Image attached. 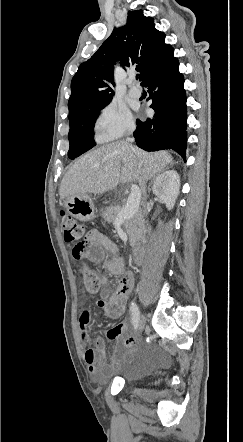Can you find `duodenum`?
I'll use <instances>...</instances> for the list:
<instances>
[{
	"label": "duodenum",
	"instance_id": "obj_1",
	"mask_svg": "<svg viewBox=\"0 0 243 442\" xmlns=\"http://www.w3.org/2000/svg\"><path fill=\"white\" fill-rule=\"evenodd\" d=\"M132 260L136 264H140L144 260V250L140 247L134 248L132 251Z\"/></svg>",
	"mask_w": 243,
	"mask_h": 442
}]
</instances>
